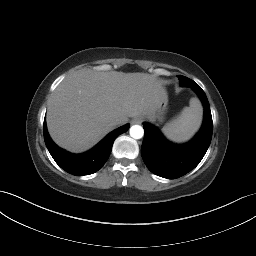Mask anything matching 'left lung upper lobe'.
<instances>
[{
    "label": "left lung upper lobe",
    "instance_id": "left-lung-upper-lobe-1",
    "mask_svg": "<svg viewBox=\"0 0 256 256\" xmlns=\"http://www.w3.org/2000/svg\"><path fill=\"white\" fill-rule=\"evenodd\" d=\"M179 84L182 85V86H186V81L189 79L187 77H184V76H181L179 75Z\"/></svg>",
    "mask_w": 256,
    "mask_h": 256
}]
</instances>
